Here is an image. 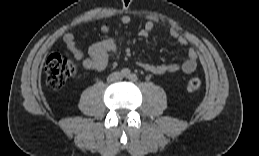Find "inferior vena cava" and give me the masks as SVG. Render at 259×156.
Listing matches in <instances>:
<instances>
[{"instance_id": "1", "label": "inferior vena cava", "mask_w": 259, "mask_h": 156, "mask_svg": "<svg viewBox=\"0 0 259 156\" xmlns=\"http://www.w3.org/2000/svg\"><path fill=\"white\" fill-rule=\"evenodd\" d=\"M122 74L120 72H113L108 76V81L114 82L122 79Z\"/></svg>"}]
</instances>
